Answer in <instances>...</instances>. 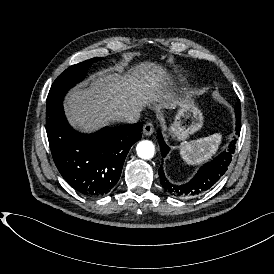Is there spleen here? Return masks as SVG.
Listing matches in <instances>:
<instances>
[{
  "label": "spleen",
  "mask_w": 274,
  "mask_h": 274,
  "mask_svg": "<svg viewBox=\"0 0 274 274\" xmlns=\"http://www.w3.org/2000/svg\"><path fill=\"white\" fill-rule=\"evenodd\" d=\"M221 136L213 134L211 136L185 141L181 146L182 156L189 163H199L209 158L216 152Z\"/></svg>",
  "instance_id": "spleen-1"
}]
</instances>
